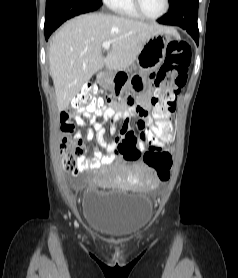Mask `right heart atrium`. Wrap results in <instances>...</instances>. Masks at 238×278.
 Returning <instances> with one entry per match:
<instances>
[{"label":"right heart atrium","instance_id":"right-heart-atrium-1","mask_svg":"<svg viewBox=\"0 0 238 278\" xmlns=\"http://www.w3.org/2000/svg\"><path fill=\"white\" fill-rule=\"evenodd\" d=\"M106 5L110 6L114 0H103Z\"/></svg>","mask_w":238,"mask_h":278}]
</instances>
